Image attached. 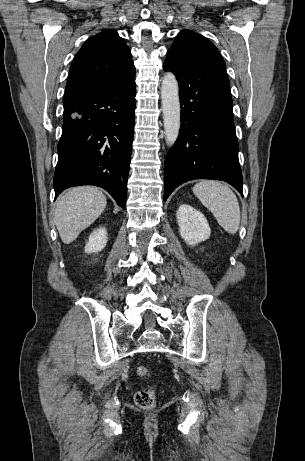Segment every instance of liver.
Returning a JSON list of instances; mask_svg holds the SVG:
<instances>
[{"label":"liver","mask_w":305,"mask_h":461,"mask_svg":"<svg viewBox=\"0 0 305 461\" xmlns=\"http://www.w3.org/2000/svg\"><path fill=\"white\" fill-rule=\"evenodd\" d=\"M106 197L97 188L79 186L62 195L57 203L54 222L61 240L73 242L105 210Z\"/></svg>","instance_id":"6515ba94"}]
</instances>
